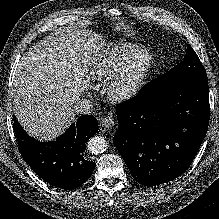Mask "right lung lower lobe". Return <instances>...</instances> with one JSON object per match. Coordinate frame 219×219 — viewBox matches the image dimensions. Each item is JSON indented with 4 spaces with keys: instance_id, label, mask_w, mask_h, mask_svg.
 I'll list each match as a JSON object with an SVG mask.
<instances>
[{
    "instance_id": "1",
    "label": "right lung lower lobe",
    "mask_w": 219,
    "mask_h": 219,
    "mask_svg": "<svg viewBox=\"0 0 219 219\" xmlns=\"http://www.w3.org/2000/svg\"><path fill=\"white\" fill-rule=\"evenodd\" d=\"M14 131L24 161L45 182L62 189H75L92 174L95 162L84 156L88 139L98 131L93 115H83L56 141L30 137L14 117Z\"/></svg>"
}]
</instances>
